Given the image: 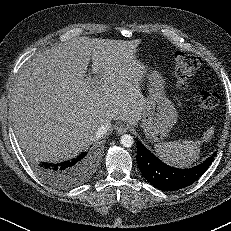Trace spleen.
Returning <instances> with one entry per match:
<instances>
[{
    "label": "spleen",
    "instance_id": "3e777b00",
    "mask_svg": "<svg viewBox=\"0 0 231 231\" xmlns=\"http://www.w3.org/2000/svg\"><path fill=\"white\" fill-rule=\"evenodd\" d=\"M213 134L214 127L211 126L203 134L201 140L163 142L156 144L154 149L158 157L165 163L175 167L187 168L198 160L201 144L208 142Z\"/></svg>",
    "mask_w": 231,
    "mask_h": 231
}]
</instances>
